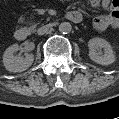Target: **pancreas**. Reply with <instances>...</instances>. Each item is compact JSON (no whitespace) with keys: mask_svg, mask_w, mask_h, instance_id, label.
Here are the masks:
<instances>
[{"mask_svg":"<svg viewBox=\"0 0 119 119\" xmlns=\"http://www.w3.org/2000/svg\"><path fill=\"white\" fill-rule=\"evenodd\" d=\"M36 26H37V24H34V25L30 26V28H29V29H30L31 31H34V30H35V28H36Z\"/></svg>","mask_w":119,"mask_h":119,"instance_id":"obj_1","label":"pancreas"}]
</instances>
